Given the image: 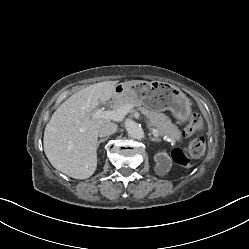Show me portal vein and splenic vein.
<instances>
[{"instance_id": "obj_1", "label": "portal vein and splenic vein", "mask_w": 249, "mask_h": 249, "mask_svg": "<svg viewBox=\"0 0 249 249\" xmlns=\"http://www.w3.org/2000/svg\"><path fill=\"white\" fill-rule=\"evenodd\" d=\"M132 109H133L132 105L126 104L118 109L109 110V111H103L101 109H98L92 114V116L94 118H104L114 121H121L127 115V113L130 112ZM152 132L156 137L158 136V131L156 129H153Z\"/></svg>"}]
</instances>
